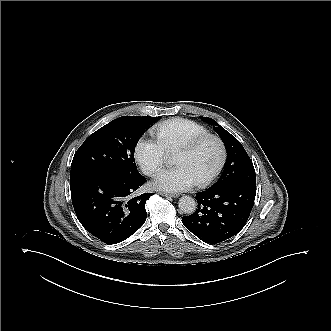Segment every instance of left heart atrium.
<instances>
[{"label":"left heart atrium","mask_w":331,"mask_h":331,"mask_svg":"<svg viewBox=\"0 0 331 331\" xmlns=\"http://www.w3.org/2000/svg\"><path fill=\"white\" fill-rule=\"evenodd\" d=\"M158 186L166 191H183L192 187V176L182 168H170L162 171L157 177Z\"/></svg>","instance_id":"39dd6f15"}]
</instances>
